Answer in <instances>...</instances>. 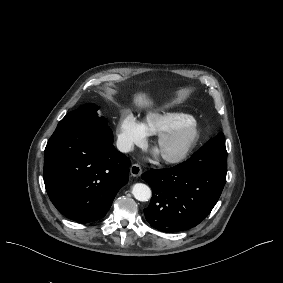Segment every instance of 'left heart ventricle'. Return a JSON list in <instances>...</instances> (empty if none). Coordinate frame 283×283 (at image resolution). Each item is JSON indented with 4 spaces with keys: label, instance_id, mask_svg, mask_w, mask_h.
<instances>
[{
    "label": "left heart ventricle",
    "instance_id": "left-heart-ventricle-1",
    "mask_svg": "<svg viewBox=\"0 0 283 283\" xmlns=\"http://www.w3.org/2000/svg\"><path fill=\"white\" fill-rule=\"evenodd\" d=\"M184 141L185 134L182 133L173 140L157 143L162 159L177 155L181 151Z\"/></svg>",
    "mask_w": 283,
    "mask_h": 283
}]
</instances>
